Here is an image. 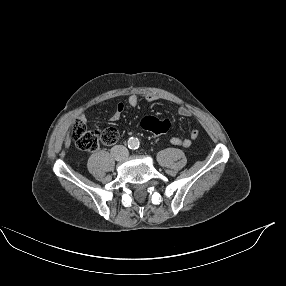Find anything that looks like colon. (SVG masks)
Instances as JSON below:
<instances>
[{
    "label": "colon",
    "mask_w": 286,
    "mask_h": 286,
    "mask_svg": "<svg viewBox=\"0 0 286 286\" xmlns=\"http://www.w3.org/2000/svg\"><path fill=\"white\" fill-rule=\"evenodd\" d=\"M141 129L156 136H169L171 121L156 113L145 114L140 121ZM70 137L77 147L84 151H94L99 144L113 145L119 138L116 128L110 127L102 132L88 129L82 120H76L72 125Z\"/></svg>",
    "instance_id": "obj_1"
}]
</instances>
